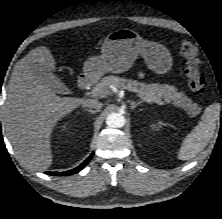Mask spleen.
I'll return each mask as SVG.
<instances>
[{"label": "spleen", "mask_w": 222, "mask_h": 219, "mask_svg": "<svg viewBox=\"0 0 222 219\" xmlns=\"http://www.w3.org/2000/svg\"><path fill=\"white\" fill-rule=\"evenodd\" d=\"M220 107L219 103H213L205 109L199 124L183 140L178 152L180 160L194 158L207 146L220 118Z\"/></svg>", "instance_id": "1"}]
</instances>
